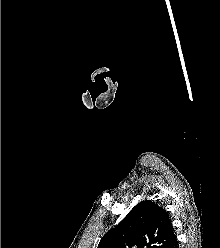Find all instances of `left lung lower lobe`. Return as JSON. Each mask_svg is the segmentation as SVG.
<instances>
[{"label":"left lung lower lobe","instance_id":"0a47b994","mask_svg":"<svg viewBox=\"0 0 220 248\" xmlns=\"http://www.w3.org/2000/svg\"><path fill=\"white\" fill-rule=\"evenodd\" d=\"M165 248H179V244H178V241H177L175 233L171 237L170 241L167 243Z\"/></svg>","mask_w":220,"mask_h":248}]
</instances>
